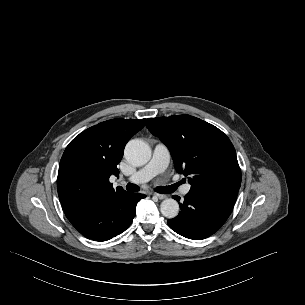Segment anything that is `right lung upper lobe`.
<instances>
[{"label": "right lung upper lobe", "instance_id": "obj_1", "mask_svg": "<svg viewBox=\"0 0 305 305\" xmlns=\"http://www.w3.org/2000/svg\"><path fill=\"white\" fill-rule=\"evenodd\" d=\"M144 125L145 119H111L86 129L69 143L57 179L64 210L125 192L121 187L114 190L109 177L118 176L126 143Z\"/></svg>", "mask_w": 305, "mask_h": 305}]
</instances>
